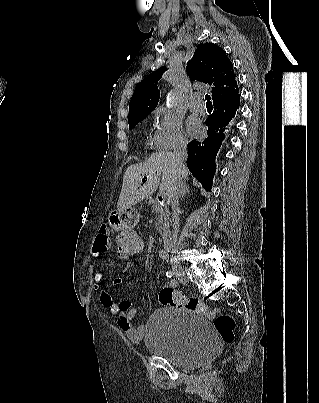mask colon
Wrapping results in <instances>:
<instances>
[{"label": "colon", "mask_w": 319, "mask_h": 403, "mask_svg": "<svg viewBox=\"0 0 319 403\" xmlns=\"http://www.w3.org/2000/svg\"><path fill=\"white\" fill-rule=\"evenodd\" d=\"M115 252L119 254L122 268H131L132 260H138L139 254L145 253L144 234L128 231L115 235ZM159 301L163 306L193 311L213 319L215 329L225 343L234 341L235 319L231 314L218 309H210L203 302L186 296L173 288H164L159 293Z\"/></svg>", "instance_id": "colon-1"}]
</instances>
